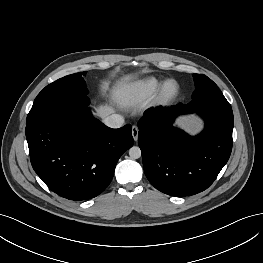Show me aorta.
Here are the masks:
<instances>
[{"instance_id":"obj_1","label":"aorta","mask_w":263,"mask_h":263,"mask_svg":"<svg viewBox=\"0 0 263 263\" xmlns=\"http://www.w3.org/2000/svg\"><path fill=\"white\" fill-rule=\"evenodd\" d=\"M129 156L132 159H138L141 157V149L138 146H133L129 149Z\"/></svg>"}]
</instances>
